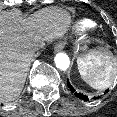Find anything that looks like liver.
<instances>
[{"mask_svg":"<svg viewBox=\"0 0 117 117\" xmlns=\"http://www.w3.org/2000/svg\"><path fill=\"white\" fill-rule=\"evenodd\" d=\"M71 22L70 13L57 6L30 17L17 9L0 11V103L20 95L35 51L62 37Z\"/></svg>","mask_w":117,"mask_h":117,"instance_id":"obj_1","label":"liver"}]
</instances>
